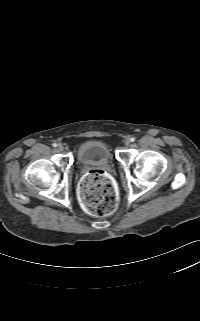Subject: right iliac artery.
Instances as JSON below:
<instances>
[{
	"label": "right iliac artery",
	"mask_w": 200,
	"mask_h": 321,
	"mask_svg": "<svg viewBox=\"0 0 200 321\" xmlns=\"http://www.w3.org/2000/svg\"><path fill=\"white\" fill-rule=\"evenodd\" d=\"M52 146H53V147H57V144H56V143H53Z\"/></svg>",
	"instance_id": "82829eb1"
}]
</instances>
